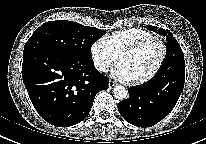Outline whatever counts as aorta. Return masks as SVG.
I'll use <instances>...</instances> for the list:
<instances>
[{
  "mask_svg": "<svg viewBox=\"0 0 206 144\" xmlns=\"http://www.w3.org/2000/svg\"><path fill=\"white\" fill-rule=\"evenodd\" d=\"M113 95L118 100H124L128 98V91L124 86H116L113 90Z\"/></svg>",
  "mask_w": 206,
  "mask_h": 144,
  "instance_id": "obj_1",
  "label": "aorta"
}]
</instances>
